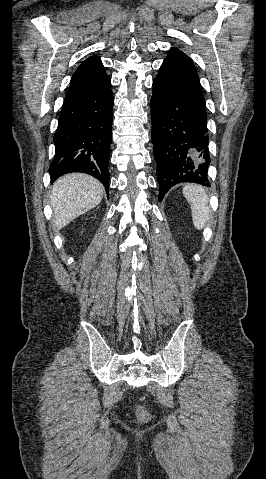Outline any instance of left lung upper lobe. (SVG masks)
Wrapping results in <instances>:
<instances>
[{
  "mask_svg": "<svg viewBox=\"0 0 266 479\" xmlns=\"http://www.w3.org/2000/svg\"><path fill=\"white\" fill-rule=\"evenodd\" d=\"M164 61L169 62L177 66L178 68L188 72L189 74L198 77L197 71L192 60L177 48H171L169 50L168 56Z\"/></svg>",
  "mask_w": 266,
  "mask_h": 479,
  "instance_id": "left-lung-upper-lobe-1",
  "label": "left lung upper lobe"
}]
</instances>
